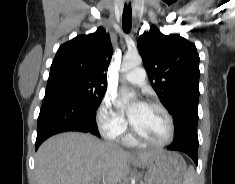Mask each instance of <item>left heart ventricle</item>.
<instances>
[{"label": "left heart ventricle", "instance_id": "left-heart-ventricle-1", "mask_svg": "<svg viewBox=\"0 0 235 184\" xmlns=\"http://www.w3.org/2000/svg\"><path fill=\"white\" fill-rule=\"evenodd\" d=\"M133 126L138 134L154 142L164 141L169 133L168 119L157 107L145 105L138 111Z\"/></svg>", "mask_w": 235, "mask_h": 184}]
</instances>
